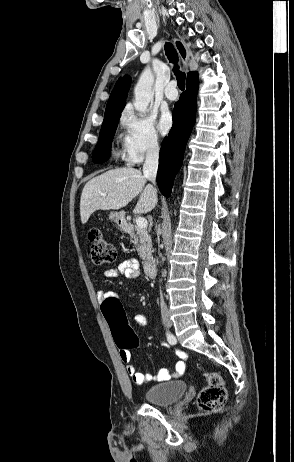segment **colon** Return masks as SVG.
<instances>
[{
  "label": "colon",
  "mask_w": 294,
  "mask_h": 462,
  "mask_svg": "<svg viewBox=\"0 0 294 462\" xmlns=\"http://www.w3.org/2000/svg\"><path fill=\"white\" fill-rule=\"evenodd\" d=\"M92 262L97 266L112 264L116 251L111 243L97 230L89 232ZM102 312L110 327L114 341L119 349H133L139 344L138 337L129 326L121 302L113 294L103 299ZM207 386L197 396L198 406L206 412L219 411L227 399V392L221 376L217 373H205Z\"/></svg>",
  "instance_id": "5ec220e1"
}]
</instances>
